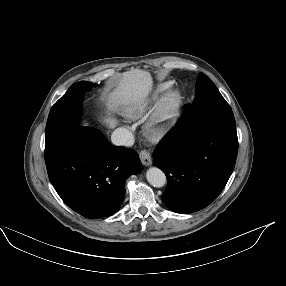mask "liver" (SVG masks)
I'll return each instance as SVG.
<instances>
[{"mask_svg": "<svg viewBox=\"0 0 286 286\" xmlns=\"http://www.w3.org/2000/svg\"><path fill=\"white\" fill-rule=\"evenodd\" d=\"M153 86L149 72L133 70L119 75V87L110 95V106L115 104L129 105L141 103L149 95ZM110 126H114L113 120H108Z\"/></svg>", "mask_w": 286, "mask_h": 286, "instance_id": "1", "label": "liver"}]
</instances>
